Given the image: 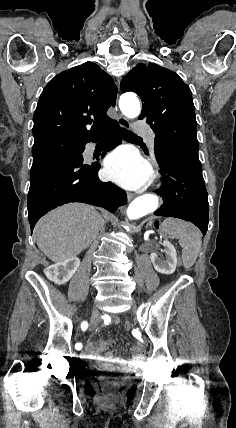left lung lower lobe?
<instances>
[{"mask_svg": "<svg viewBox=\"0 0 236 428\" xmlns=\"http://www.w3.org/2000/svg\"><path fill=\"white\" fill-rule=\"evenodd\" d=\"M158 164L163 184L155 192L164 202L154 214L190 221L205 235L209 203L200 161L166 152Z\"/></svg>", "mask_w": 236, "mask_h": 428, "instance_id": "0a47b994", "label": "left lung lower lobe"}]
</instances>
